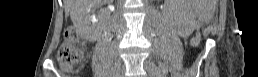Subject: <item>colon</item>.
I'll use <instances>...</instances> for the list:
<instances>
[{
  "mask_svg": "<svg viewBox=\"0 0 258 77\" xmlns=\"http://www.w3.org/2000/svg\"><path fill=\"white\" fill-rule=\"evenodd\" d=\"M58 60L64 69H69L83 60L79 37L73 28L66 31L65 40L58 50Z\"/></svg>",
  "mask_w": 258,
  "mask_h": 77,
  "instance_id": "5ec220e1",
  "label": "colon"
}]
</instances>
